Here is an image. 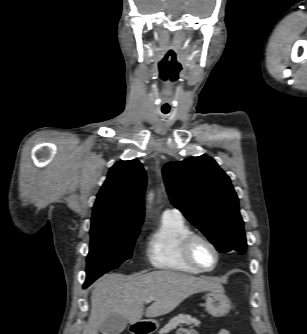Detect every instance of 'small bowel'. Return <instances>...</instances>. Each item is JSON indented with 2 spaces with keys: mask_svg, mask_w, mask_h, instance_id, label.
<instances>
[{
  "mask_svg": "<svg viewBox=\"0 0 307 334\" xmlns=\"http://www.w3.org/2000/svg\"><path fill=\"white\" fill-rule=\"evenodd\" d=\"M180 334H187V333L182 332ZM217 334H230V332L227 329H221L218 331Z\"/></svg>",
  "mask_w": 307,
  "mask_h": 334,
  "instance_id": "1",
  "label": "small bowel"
}]
</instances>
